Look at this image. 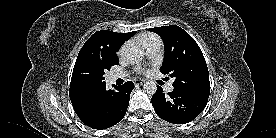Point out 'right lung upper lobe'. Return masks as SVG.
I'll return each instance as SVG.
<instances>
[{
    "mask_svg": "<svg viewBox=\"0 0 276 138\" xmlns=\"http://www.w3.org/2000/svg\"><path fill=\"white\" fill-rule=\"evenodd\" d=\"M134 34L135 31L129 33H117L107 30L95 32L81 48L76 59L74 69L81 63L102 61L109 57L118 58L116 52L119 50L121 45ZM74 69L71 78L69 96L77 115H82L86 112L88 100L92 98L95 92L104 85L95 88H85L80 86L75 79Z\"/></svg>",
    "mask_w": 276,
    "mask_h": 138,
    "instance_id": "cb5924a9",
    "label": "right lung upper lobe"
}]
</instances>
